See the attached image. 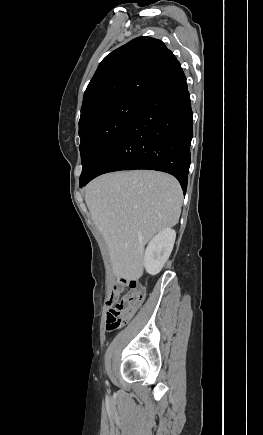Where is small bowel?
I'll use <instances>...</instances> for the list:
<instances>
[{
	"label": "small bowel",
	"mask_w": 263,
	"mask_h": 435,
	"mask_svg": "<svg viewBox=\"0 0 263 435\" xmlns=\"http://www.w3.org/2000/svg\"><path fill=\"white\" fill-rule=\"evenodd\" d=\"M120 292L118 290H114L109 301L107 302L108 309L117 301Z\"/></svg>",
	"instance_id": "small-bowel-1"
}]
</instances>
